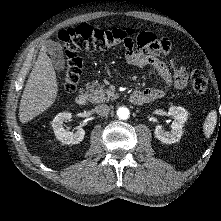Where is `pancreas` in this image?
<instances>
[{"label":"pancreas","instance_id":"cf45deb5","mask_svg":"<svg viewBox=\"0 0 221 221\" xmlns=\"http://www.w3.org/2000/svg\"><path fill=\"white\" fill-rule=\"evenodd\" d=\"M86 88L89 91V100L91 103H104L117 98V95L104 88L99 83H87Z\"/></svg>","mask_w":221,"mask_h":221}]
</instances>
